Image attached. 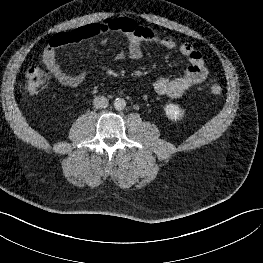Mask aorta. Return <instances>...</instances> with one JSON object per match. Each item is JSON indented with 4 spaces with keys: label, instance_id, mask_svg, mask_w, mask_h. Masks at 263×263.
I'll use <instances>...</instances> for the list:
<instances>
[{
    "label": "aorta",
    "instance_id": "1",
    "mask_svg": "<svg viewBox=\"0 0 263 263\" xmlns=\"http://www.w3.org/2000/svg\"><path fill=\"white\" fill-rule=\"evenodd\" d=\"M126 107V101L123 98H116L114 100V108L116 110H123Z\"/></svg>",
    "mask_w": 263,
    "mask_h": 263
}]
</instances>
